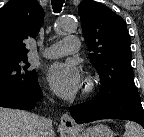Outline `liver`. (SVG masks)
<instances>
[{"label": "liver", "instance_id": "1", "mask_svg": "<svg viewBox=\"0 0 144 137\" xmlns=\"http://www.w3.org/2000/svg\"><path fill=\"white\" fill-rule=\"evenodd\" d=\"M42 121L34 113L0 108V137H40Z\"/></svg>", "mask_w": 144, "mask_h": 137}]
</instances>
